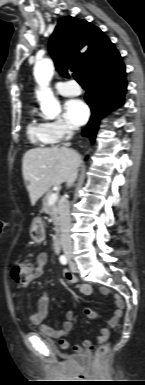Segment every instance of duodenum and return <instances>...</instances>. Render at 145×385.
<instances>
[{"label":"duodenum","mask_w":145,"mask_h":385,"mask_svg":"<svg viewBox=\"0 0 145 385\" xmlns=\"http://www.w3.org/2000/svg\"><path fill=\"white\" fill-rule=\"evenodd\" d=\"M61 251V239L60 237H57L54 241V252L56 254L60 253Z\"/></svg>","instance_id":"obj_1"}]
</instances>
